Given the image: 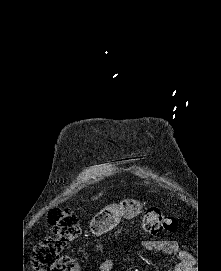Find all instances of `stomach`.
<instances>
[{"label": "stomach", "instance_id": "stomach-1", "mask_svg": "<svg viewBox=\"0 0 221 271\" xmlns=\"http://www.w3.org/2000/svg\"><path fill=\"white\" fill-rule=\"evenodd\" d=\"M128 200V199H127ZM140 205L136 203H130V201H121V203H112L108 207H104L101 211H98L90 221V231L93 235H102L109 229H113L115 225H118L121 217H135L137 213H141Z\"/></svg>", "mask_w": 221, "mask_h": 271}]
</instances>
